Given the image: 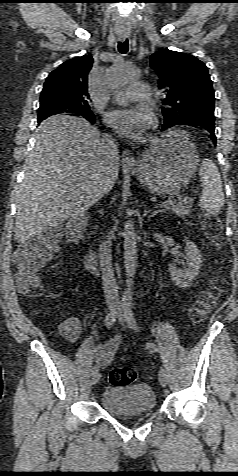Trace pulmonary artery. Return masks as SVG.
<instances>
[{
  "label": "pulmonary artery",
  "instance_id": "1",
  "mask_svg": "<svg viewBox=\"0 0 238 476\" xmlns=\"http://www.w3.org/2000/svg\"><path fill=\"white\" fill-rule=\"evenodd\" d=\"M151 96V88L148 84L134 82L130 86L117 91L113 95L114 102L127 104L136 100H147Z\"/></svg>",
  "mask_w": 238,
  "mask_h": 476
}]
</instances>
